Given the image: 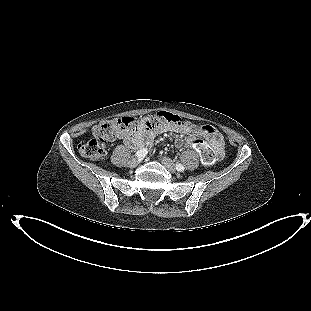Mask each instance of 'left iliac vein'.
<instances>
[{
	"instance_id": "4c4485c4",
	"label": "left iliac vein",
	"mask_w": 311,
	"mask_h": 311,
	"mask_svg": "<svg viewBox=\"0 0 311 311\" xmlns=\"http://www.w3.org/2000/svg\"><path fill=\"white\" fill-rule=\"evenodd\" d=\"M161 162L171 173H175L176 172L175 165H174L173 161L170 158L162 157L161 158Z\"/></svg>"
}]
</instances>
